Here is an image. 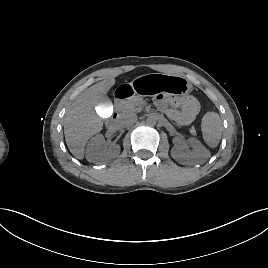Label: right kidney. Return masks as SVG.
Masks as SVG:
<instances>
[{
	"label": "right kidney",
	"mask_w": 268,
	"mask_h": 268,
	"mask_svg": "<svg viewBox=\"0 0 268 268\" xmlns=\"http://www.w3.org/2000/svg\"><path fill=\"white\" fill-rule=\"evenodd\" d=\"M120 153L118 144H105L104 136L98 134L91 138L86 149V159L98 165L105 164L116 158Z\"/></svg>",
	"instance_id": "right-kidney-1"
}]
</instances>
